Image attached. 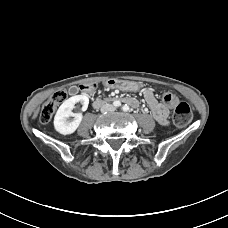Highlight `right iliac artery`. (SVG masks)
<instances>
[{
	"label": "right iliac artery",
	"mask_w": 228,
	"mask_h": 228,
	"mask_svg": "<svg viewBox=\"0 0 228 228\" xmlns=\"http://www.w3.org/2000/svg\"><path fill=\"white\" fill-rule=\"evenodd\" d=\"M113 105H114L115 107H119V106L121 105V103H120V101H114V102H113Z\"/></svg>",
	"instance_id": "1"
}]
</instances>
